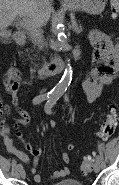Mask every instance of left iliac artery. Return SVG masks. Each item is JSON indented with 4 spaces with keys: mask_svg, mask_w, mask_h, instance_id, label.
<instances>
[{
    "mask_svg": "<svg viewBox=\"0 0 119 185\" xmlns=\"http://www.w3.org/2000/svg\"><path fill=\"white\" fill-rule=\"evenodd\" d=\"M59 99V97H55V98H51L49 99L46 104H45V112L47 114H51L52 113V107L54 106V104L56 103V101ZM96 160L101 161V157L99 155L96 156Z\"/></svg>",
    "mask_w": 119,
    "mask_h": 185,
    "instance_id": "left-iliac-artery-1",
    "label": "left iliac artery"
}]
</instances>
